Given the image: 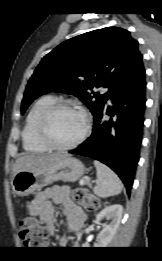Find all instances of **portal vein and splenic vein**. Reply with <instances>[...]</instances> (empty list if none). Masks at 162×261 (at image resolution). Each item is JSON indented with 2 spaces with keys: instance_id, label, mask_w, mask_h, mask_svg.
Returning <instances> with one entry per match:
<instances>
[{
  "instance_id": "obj_1",
  "label": "portal vein and splenic vein",
  "mask_w": 162,
  "mask_h": 261,
  "mask_svg": "<svg viewBox=\"0 0 162 261\" xmlns=\"http://www.w3.org/2000/svg\"><path fill=\"white\" fill-rule=\"evenodd\" d=\"M84 182H85V180H84V179H81V180H80V185H83Z\"/></svg>"
}]
</instances>
